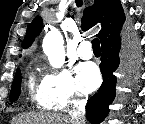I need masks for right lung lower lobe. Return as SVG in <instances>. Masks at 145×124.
<instances>
[{
  "label": "right lung lower lobe",
  "instance_id": "1",
  "mask_svg": "<svg viewBox=\"0 0 145 124\" xmlns=\"http://www.w3.org/2000/svg\"><path fill=\"white\" fill-rule=\"evenodd\" d=\"M102 56L100 69L103 75V83L88 101L86 112L87 119L92 124L101 123L109 113L108 106L113 102L116 96L115 85L117 78L113 72L119 67L120 55L127 53L130 56L137 55L136 42L133 38L126 40L124 48L121 50L120 31L108 36L101 42ZM135 65V63H133ZM131 65V68H133Z\"/></svg>",
  "mask_w": 145,
  "mask_h": 124
}]
</instances>
